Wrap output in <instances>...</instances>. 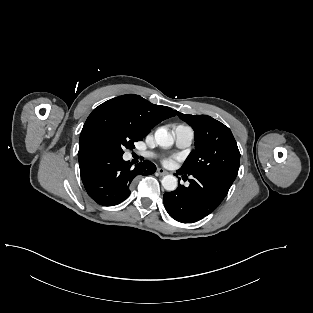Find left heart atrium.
Returning <instances> with one entry per match:
<instances>
[{"mask_svg":"<svg viewBox=\"0 0 313 313\" xmlns=\"http://www.w3.org/2000/svg\"><path fill=\"white\" fill-rule=\"evenodd\" d=\"M165 163H166V164H169V163H170V159H166V160H165Z\"/></svg>","mask_w":313,"mask_h":313,"instance_id":"obj_1","label":"left heart atrium"}]
</instances>
